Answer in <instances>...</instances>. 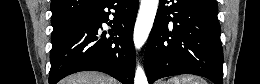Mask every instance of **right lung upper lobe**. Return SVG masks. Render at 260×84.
<instances>
[{
  "mask_svg": "<svg viewBox=\"0 0 260 84\" xmlns=\"http://www.w3.org/2000/svg\"><path fill=\"white\" fill-rule=\"evenodd\" d=\"M101 0H52L53 28L70 24L94 8Z\"/></svg>",
  "mask_w": 260,
  "mask_h": 84,
  "instance_id": "cb5924a9",
  "label": "right lung upper lobe"
}]
</instances>
